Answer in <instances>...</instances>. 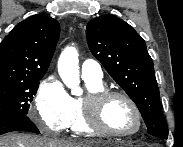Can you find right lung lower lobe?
Listing matches in <instances>:
<instances>
[{
  "label": "right lung lower lobe",
  "mask_w": 183,
  "mask_h": 147,
  "mask_svg": "<svg viewBox=\"0 0 183 147\" xmlns=\"http://www.w3.org/2000/svg\"><path fill=\"white\" fill-rule=\"evenodd\" d=\"M12 131L39 133L37 127L27 115H14L0 118V135Z\"/></svg>",
  "instance_id": "right-lung-lower-lobe-1"
}]
</instances>
